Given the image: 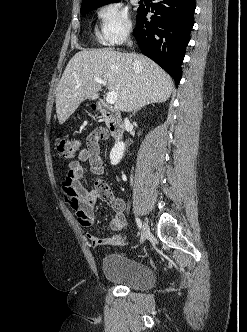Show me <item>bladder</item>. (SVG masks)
Masks as SVG:
<instances>
[{
    "instance_id": "obj_1",
    "label": "bladder",
    "mask_w": 247,
    "mask_h": 332,
    "mask_svg": "<svg viewBox=\"0 0 247 332\" xmlns=\"http://www.w3.org/2000/svg\"><path fill=\"white\" fill-rule=\"evenodd\" d=\"M102 271L108 281L134 290H146L155 283L154 273L147 264L122 254L105 255Z\"/></svg>"
}]
</instances>
